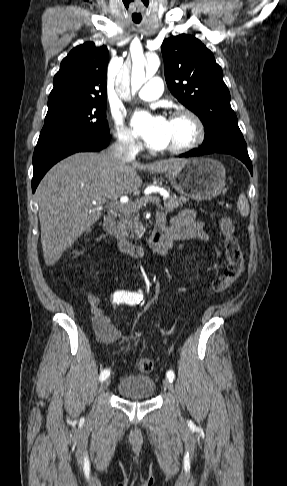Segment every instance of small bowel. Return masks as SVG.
I'll use <instances>...</instances> for the list:
<instances>
[{
  "mask_svg": "<svg viewBox=\"0 0 287 486\" xmlns=\"http://www.w3.org/2000/svg\"><path fill=\"white\" fill-rule=\"evenodd\" d=\"M171 223V228L165 232L163 243L157 250L161 257H166L169 251L185 250L187 241H205L207 239L203 224L192 209H183L171 218ZM87 300L97 338L107 344L116 342L120 337V332L104 313L100 299L90 291L87 293Z\"/></svg>",
  "mask_w": 287,
  "mask_h": 486,
  "instance_id": "small-bowel-1",
  "label": "small bowel"
}]
</instances>
